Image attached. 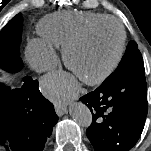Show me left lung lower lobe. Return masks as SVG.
<instances>
[{
    "mask_svg": "<svg viewBox=\"0 0 151 151\" xmlns=\"http://www.w3.org/2000/svg\"><path fill=\"white\" fill-rule=\"evenodd\" d=\"M80 100L93 115L86 134L95 151H128L138 141L148 111L144 68L101 84Z\"/></svg>",
    "mask_w": 151,
    "mask_h": 151,
    "instance_id": "1",
    "label": "left lung lower lobe"
}]
</instances>
